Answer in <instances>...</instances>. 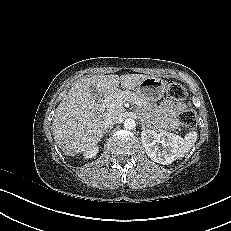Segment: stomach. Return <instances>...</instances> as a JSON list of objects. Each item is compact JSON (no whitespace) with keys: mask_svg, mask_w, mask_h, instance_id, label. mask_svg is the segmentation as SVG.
<instances>
[{"mask_svg":"<svg viewBox=\"0 0 231 231\" xmlns=\"http://www.w3.org/2000/svg\"><path fill=\"white\" fill-rule=\"evenodd\" d=\"M166 86V81L163 79L149 76L133 90L137 96L145 101H158L164 96Z\"/></svg>","mask_w":231,"mask_h":231,"instance_id":"1","label":"stomach"}]
</instances>
